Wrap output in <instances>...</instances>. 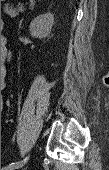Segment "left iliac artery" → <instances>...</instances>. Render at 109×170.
<instances>
[{"mask_svg": "<svg viewBox=\"0 0 109 170\" xmlns=\"http://www.w3.org/2000/svg\"><path fill=\"white\" fill-rule=\"evenodd\" d=\"M28 159L29 156H26L23 160L10 163L8 166L21 167L28 161ZM2 170H6V167H3Z\"/></svg>", "mask_w": 109, "mask_h": 170, "instance_id": "44dca946", "label": "left iliac artery"}]
</instances>
